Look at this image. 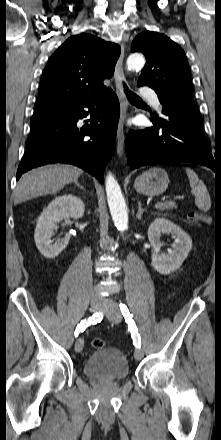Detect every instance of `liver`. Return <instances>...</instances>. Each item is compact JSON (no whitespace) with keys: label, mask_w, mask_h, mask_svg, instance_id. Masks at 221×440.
Listing matches in <instances>:
<instances>
[{"label":"liver","mask_w":221,"mask_h":440,"mask_svg":"<svg viewBox=\"0 0 221 440\" xmlns=\"http://www.w3.org/2000/svg\"><path fill=\"white\" fill-rule=\"evenodd\" d=\"M82 169L64 164L39 167L24 174L15 189V203L47 194H55L66 184L77 181Z\"/></svg>","instance_id":"liver-1"}]
</instances>
